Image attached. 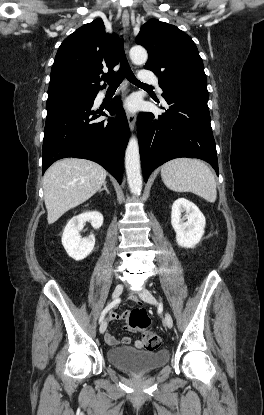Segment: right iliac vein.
Masks as SVG:
<instances>
[{
    "instance_id": "63e3f726",
    "label": "right iliac vein",
    "mask_w": 264,
    "mask_h": 415,
    "mask_svg": "<svg viewBox=\"0 0 264 415\" xmlns=\"http://www.w3.org/2000/svg\"><path fill=\"white\" fill-rule=\"evenodd\" d=\"M122 292H123V285L122 284H118L115 287V289H114V292H113V295H112L113 296V299L118 298L122 294ZM107 325H108V322H107V319H105L101 323L100 328H99V331H100L101 334H103L105 332V330L107 328Z\"/></svg>"
}]
</instances>
